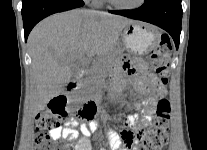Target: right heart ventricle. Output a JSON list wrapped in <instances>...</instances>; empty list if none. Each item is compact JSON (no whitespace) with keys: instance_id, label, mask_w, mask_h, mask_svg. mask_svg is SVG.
Returning <instances> with one entry per match:
<instances>
[{"instance_id":"e07e8e85","label":"right heart ventricle","mask_w":207,"mask_h":150,"mask_svg":"<svg viewBox=\"0 0 207 150\" xmlns=\"http://www.w3.org/2000/svg\"><path fill=\"white\" fill-rule=\"evenodd\" d=\"M103 0H96L97 4H100Z\"/></svg>"}]
</instances>
